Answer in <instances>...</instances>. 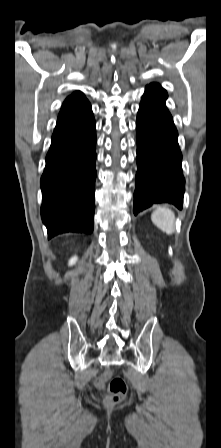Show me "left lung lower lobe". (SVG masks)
Returning a JSON list of instances; mask_svg holds the SVG:
<instances>
[{"instance_id":"obj_1","label":"left lung lower lobe","mask_w":221,"mask_h":448,"mask_svg":"<svg viewBox=\"0 0 221 448\" xmlns=\"http://www.w3.org/2000/svg\"><path fill=\"white\" fill-rule=\"evenodd\" d=\"M166 92L146 87L137 114V173L134 214L161 203L181 209L184 195L178 132L165 101Z\"/></svg>"}]
</instances>
